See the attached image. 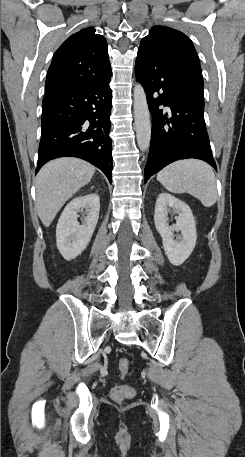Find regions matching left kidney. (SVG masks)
Returning <instances> with one entry per match:
<instances>
[{
    "mask_svg": "<svg viewBox=\"0 0 245 457\" xmlns=\"http://www.w3.org/2000/svg\"><path fill=\"white\" fill-rule=\"evenodd\" d=\"M170 210L178 214L175 216L176 224L172 226L168 224L167 212ZM154 220L171 265L179 267L190 257L197 241L196 224L190 206L169 192H161L156 200ZM174 231H181V235H174Z\"/></svg>",
    "mask_w": 245,
    "mask_h": 457,
    "instance_id": "left-kidney-1",
    "label": "left kidney"
}]
</instances>
